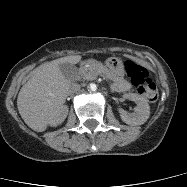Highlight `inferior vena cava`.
Here are the masks:
<instances>
[{"mask_svg": "<svg viewBox=\"0 0 187 187\" xmlns=\"http://www.w3.org/2000/svg\"><path fill=\"white\" fill-rule=\"evenodd\" d=\"M81 89V86L80 84L78 83H73L71 84L70 86V89H69V94H75V93H78Z\"/></svg>", "mask_w": 187, "mask_h": 187, "instance_id": "inferior-vena-cava-1", "label": "inferior vena cava"}]
</instances>
